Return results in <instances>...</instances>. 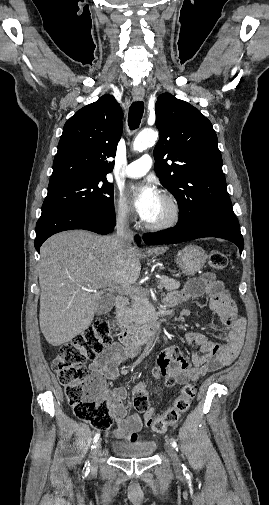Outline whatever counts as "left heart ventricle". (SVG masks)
I'll use <instances>...</instances> for the list:
<instances>
[{
  "mask_svg": "<svg viewBox=\"0 0 269 505\" xmlns=\"http://www.w3.org/2000/svg\"><path fill=\"white\" fill-rule=\"evenodd\" d=\"M170 215H171V207L161 197L152 215L146 221L150 223H157L166 220Z\"/></svg>",
  "mask_w": 269,
  "mask_h": 505,
  "instance_id": "b2bd125f",
  "label": "left heart ventricle"
}]
</instances>
